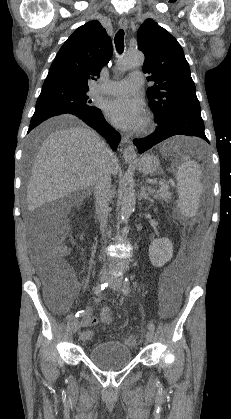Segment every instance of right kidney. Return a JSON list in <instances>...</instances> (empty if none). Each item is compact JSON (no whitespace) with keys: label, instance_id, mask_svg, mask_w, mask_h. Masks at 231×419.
<instances>
[{"label":"right kidney","instance_id":"1","mask_svg":"<svg viewBox=\"0 0 231 419\" xmlns=\"http://www.w3.org/2000/svg\"><path fill=\"white\" fill-rule=\"evenodd\" d=\"M81 239H83V236L81 235V237H80Z\"/></svg>","mask_w":231,"mask_h":419}]
</instances>
